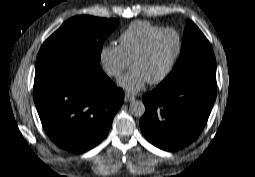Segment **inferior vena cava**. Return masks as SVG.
<instances>
[{"instance_id":"1","label":"inferior vena cava","mask_w":255,"mask_h":177,"mask_svg":"<svg viewBox=\"0 0 255 177\" xmlns=\"http://www.w3.org/2000/svg\"><path fill=\"white\" fill-rule=\"evenodd\" d=\"M115 74H116L115 71H110V72H109V75H115Z\"/></svg>"}]
</instances>
